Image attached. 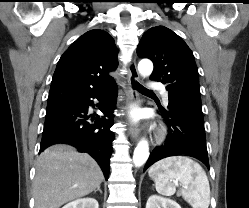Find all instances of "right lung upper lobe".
<instances>
[{
	"mask_svg": "<svg viewBox=\"0 0 249 208\" xmlns=\"http://www.w3.org/2000/svg\"><path fill=\"white\" fill-rule=\"evenodd\" d=\"M118 50L109 33L86 32L61 56L54 72L48 103L90 95L113 83L108 75L118 66Z\"/></svg>",
	"mask_w": 249,
	"mask_h": 208,
	"instance_id": "1",
	"label": "right lung upper lobe"
}]
</instances>
